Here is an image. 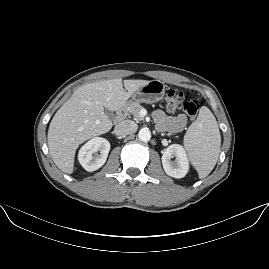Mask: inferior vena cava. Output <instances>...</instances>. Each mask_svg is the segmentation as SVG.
<instances>
[{
    "instance_id": "obj_1",
    "label": "inferior vena cava",
    "mask_w": 269,
    "mask_h": 269,
    "mask_svg": "<svg viewBox=\"0 0 269 269\" xmlns=\"http://www.w3.org/2000/svg\"><path fill=\"white\" fill-rule=\"evenodd\" d=\"M138 126L133 120H124L119 123L115 128L117 135H130L137 131Z\"/></svg>"
}]
</instances>
